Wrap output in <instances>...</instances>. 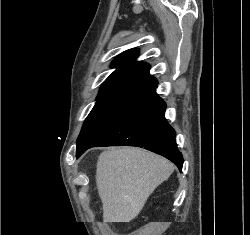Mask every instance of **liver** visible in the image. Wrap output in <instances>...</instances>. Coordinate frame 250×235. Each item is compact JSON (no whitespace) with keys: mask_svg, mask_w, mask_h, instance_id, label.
I'll return each instance as SVG.
<instances>
[{"mask_svg":"<svg viewBox=\"0 0 250 235\" xmlns=\"http://www.w3.org/2000/svg\"><path fill=\"white\" fill-rule=\"evenodd\" d=\"M174 165L140 148H109L97 161L96 184L106 222H130Z\"/></svg>","mask_w":250,"mask_h":235,"instance_id":"1","label":"liver"}]
</instances>
